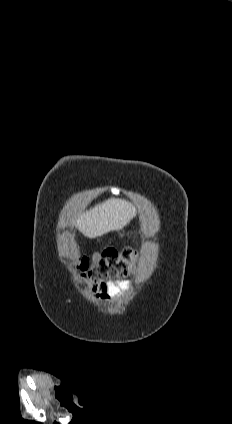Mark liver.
<instances>
[{"instance_id":"1","label":"liver","mask_w":232,"mask_h":424,"mask_svg":"<svg viewBox=\"0 0 232 424\" xmlns=\"http://www.w3.org/2000/svg\"><path fill=\"white\" fill-rule=\"evenodd\" d=\"M135 216L136 209L130 202L111 198L80 215L76 226L86 237L96 238L122 229Z\"/></svg>"}]
</instances>
